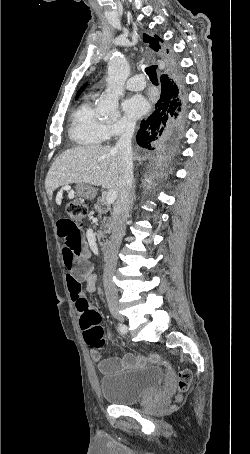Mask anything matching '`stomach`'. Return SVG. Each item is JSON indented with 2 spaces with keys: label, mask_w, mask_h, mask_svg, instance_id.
<instances>
[{
  "label": "stomach",
  "mask_w": 250,
  "mask_h": 454,
  "mask_svg": "<svg viewBox=\"0 0 250 454\" xmlns=\"http://www.w3.org/2000/svg\"><path fill=\"white\" fill-rule=\"evenodd\" d=\"M77 194L85 199H93L96 195V190L88 184H79Z\"/></svg>",
  "instance_id": "stomach-1"
}]
</instances>
